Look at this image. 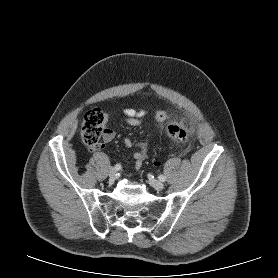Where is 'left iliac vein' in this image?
I'll return each instance as SVG.
<instances>
[{
  "label": "left iliac vein",
  "mask_w": 278,
  "mask_h": 278,
  "mask_svg": "<svg viewBox=\"0 0 278 278\" xmlns=\"http://www.w3.org/2000/svg\"><path fill=\"white\" fill-rule=\"evenodd\" d=\"M150 184L152 185L153 188L156 190H162L164 188L163 182L156 180V179H151Z\"/></svg>",
  "instance_id": "left-iliac-vein-1"
}]
</instances>
